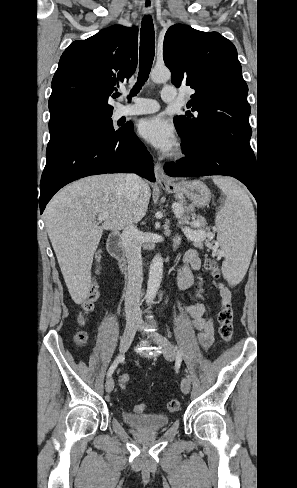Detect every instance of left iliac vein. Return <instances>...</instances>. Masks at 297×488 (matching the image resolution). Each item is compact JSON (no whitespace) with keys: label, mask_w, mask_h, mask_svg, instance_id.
<instances>
[{"label":"left iliac vein","mask_w":297,"mask_h":488,"mask_svg":"<svg viewBox=\"0 0 297 488\" xmlns=\"http://www.w3.org/2000/svg\"><path fill=\"white\" fill-rule=\"evenodd\" d=\"M142 326H143V322L140 321L138 323V328H141ZM150 337L154 343L161 346L165 359H167L168 361H173L175 359V356H176L175 350H174L173 346L171 345V343L165 337H163L159 333H152L150 335ZM190 387H191L190 380L188 378L184 377L181 381L182 392L184 394H188L190 391Z\"/></svg>","instance_id":"left-iliac-vein-1"}]
</instances>
